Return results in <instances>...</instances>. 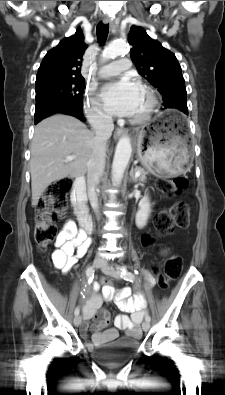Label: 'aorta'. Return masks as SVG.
Returning <instances> with one entry per match:
<instances>
[{"label": "aorta", "instance_id": "1", "mask_svg": "<svg viewBox=\"0 0 225 395\" xmlns=\"http://www.w3.org/2000/svg\"><path fill=\"white\" fill-rule=\"evenodd\" d=\"M128 51L129 48L125 41H114L105 48L102 58L103 60L114 59ZM131 153L132 146L130 138L123 136L117 143L112 163V181L115 184H119L122 181Z\"/></svg>", "mask_w": 225, "mask_h": 395}]
</instances>
